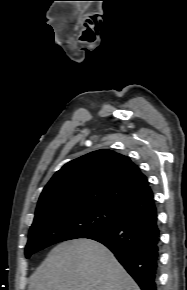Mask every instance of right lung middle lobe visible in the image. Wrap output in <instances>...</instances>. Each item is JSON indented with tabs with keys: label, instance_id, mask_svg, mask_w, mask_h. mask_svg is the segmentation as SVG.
<instances>
[{
	"label": "right lung middle lobe",
	"instance_id": "1",
	"mask_svg": "<svg viewBox=\"0 0 187 290\" xmlns=\"http://www.w3.org/2000/svg\"><path fill=\"white\" fill-rule=\"evenodd\" d=\"M126 219L116 210L100 205L73 208L40 217L34 220L30 228L26 258L52 244L86 238L115 227Z\"/></svg>",
	"mask_w": 187,
	"mask_h": 290
}]
</instances>
